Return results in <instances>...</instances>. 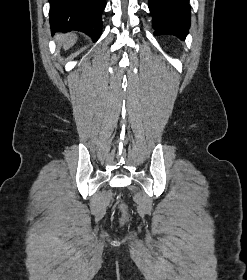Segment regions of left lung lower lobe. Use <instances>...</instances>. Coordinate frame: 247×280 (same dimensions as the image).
Segmentation results:
<instances>
[{
  "mask_svg": "<svg viewBox=\"0 0 247 280\" xmlns=\"http://www.w3.org/2000/svg\"><path fill=\"white\" fill-rule=\"evenodd\" d=\"M154 35H174L184 40L190 28L189 0H148Z\"/></svg>",
  "mask_w": 247,
  "mask_h": 280,
  "instance_id": "1",
  "label": "left lung lower lobe"
}]
</instances>
